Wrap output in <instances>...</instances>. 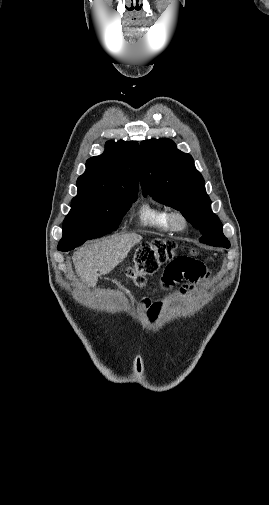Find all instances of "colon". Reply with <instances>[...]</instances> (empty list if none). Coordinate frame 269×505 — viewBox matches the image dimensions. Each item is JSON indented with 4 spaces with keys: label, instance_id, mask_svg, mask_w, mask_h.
<instances>
[{
    "label": "colon",
    "instance_id": "obj_1",
    "mask_svg": "<svg viewBox=\"0 0 269 505\" xmlns=\"http://www.w3.org/2000/svg\"><path fill=\"white\" fill-rule=\"evenodd\" d=\"M171 259H195L193 256H176L174 247L168 242H153L142 245L136 252L135 265L128 270V276L137 285L145 283V276L155 273L159 267ZM200 273V277H202Z\"/></svg>",
    "mask_w": 269,
    "mask_h": 505
}]
</instances>
